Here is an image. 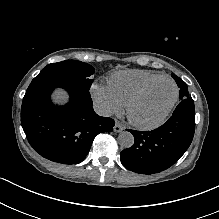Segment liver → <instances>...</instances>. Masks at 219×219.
<instances>
[{"label":"liver","mask_w":219,"mask_h":219,"mask_svg":"<svg viewBox=\"0 0 219 219\" xmlns=\"http://www.w3.org/2000/svg\"><path fill=\"white\" fill-rule=\"evenodd\" d=\"M52 99L55 103L64 104L68 101V95L64 90L56 89L52 94Z\"/></svg>","instance_id":"liver-1"}]
</instances>
